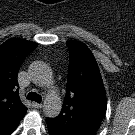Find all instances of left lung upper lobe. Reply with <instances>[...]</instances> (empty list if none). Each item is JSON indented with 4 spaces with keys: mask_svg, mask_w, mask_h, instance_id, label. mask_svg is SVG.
<instances>
[{
    "mask_svg": "<svg viewBox=\"0 0 135 135\" xmlns=\"http://www.w3.org/2000/svg\"><path fill=\"white\" fill-rule=\"evenodd\" d=\"M66 44L70 50L66 96L61 113L46 121L58 135H94L107 109L101 74L84 43Z\"/></svg>",
    "mask_w": 135,
    "mask_h": 135,
    "instance_id": "5c2ea615",
    "label": "left lung upper lobe"
}]
</instances>
